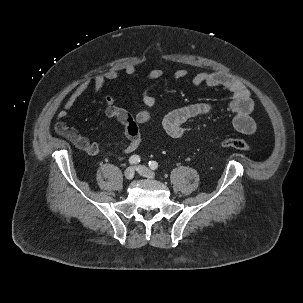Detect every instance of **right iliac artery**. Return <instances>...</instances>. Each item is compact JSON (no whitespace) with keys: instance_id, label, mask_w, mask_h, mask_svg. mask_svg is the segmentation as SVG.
I'll use <instances>...</instances> for the list:
<instances>
[{"instance_id":"1","label":"right iliac artery","mask_w":303,"mask_h":303,"mask_svg":"<svg viewBox=\"0 0 303 303\" xmlns=\"http://www.w3.org/2000/svg\"><path fill=\"white\" fill-rule=\"evenodd\" d=\"M140 162V157L138 155H132L130 158H129V163L131 165H136Z\"/></svg>"}]
</instances>
